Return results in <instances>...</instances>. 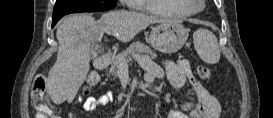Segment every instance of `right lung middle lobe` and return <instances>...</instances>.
<instances>
[{
  "label": "right lung middle lobe",
  "mask_w": 273,
  "mask_h": 118,
  "mask_svg": "<svg viewBox=\"0 0 273 118\" xmlns=\"http://www.w3.org/2000/svg\"><path fill=\"white\" fill-rule=\"evenodd\" d=\"M115 0H57L54 10L67 8L80 12H100L116 7Z\"/></svg>",
  "instance_id": "dd1d6c3e"
}]
</instances>
